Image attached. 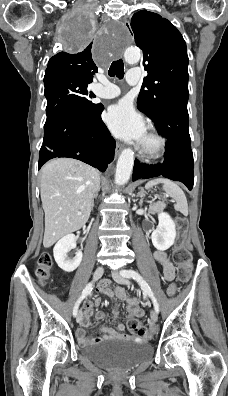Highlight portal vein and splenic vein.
<instances>
[{
	"label": "portal vein and splenic vein",
	"instance_id": "18ae733b",
	"mask_svg": "<svg viewBox=\"0 0 228 396\" xmlns=\"http://www.w3.org/2000/svg\"><path fill=\"white\" fill-rule=\"evenodd\" d=\"M82 213L81 212H77V215H81Z\"/></svg>",
	"mask_w": 228,
	"mask_h": 396
}]
</instances>
